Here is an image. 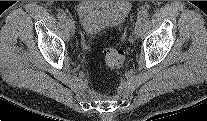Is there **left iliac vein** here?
Listing matches in <instances>:
<instances>
[{
  "instance_id": "1",
  "label": "left iliac vein",
  "mask_w": 207,
  "mask_h": 121,
  "mask_svg": "<svg viewBox=\"0 0 207 121\" xmlns=\"http://www.w3.org/2000/svg\"><path fill=\"white\" fill-rule=\"evenodd\" d=\"M141 32V21L137 20L134 23L133 29H132V36L130 37V41L133 43L136 38L140 36Z\"/></svg>"
}]
</instances>
